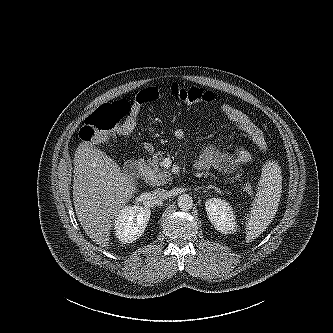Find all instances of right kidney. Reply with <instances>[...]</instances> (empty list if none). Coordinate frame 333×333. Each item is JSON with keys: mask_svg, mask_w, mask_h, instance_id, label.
I'll return each mask as SVG.
<instances>
[{"mask_svg": "<svg viewBox=\"0 0 333 333\" xmlns=\"http://www.w3.org/2000/svg\"><path fill=\"white\" fill-rule=\"evenodd\" d=\"M151 211L142 206H125L114 220V232L121 243H132L145 231Z\"/></svg>", "mask_w": 333, "mask_h": 333, "instance_id": "right-kidney-1", "label": "right kidney"}]
</instances>
